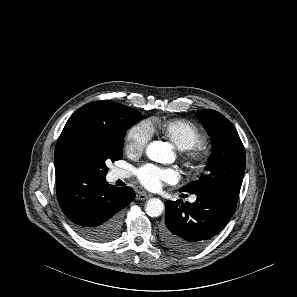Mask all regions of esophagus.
<instances>
[{
	"label": "esophagus",
	"instance_id": "1",
	"mask_svg": "<svg viewBox=\"0 0 297 297\" xmlns=\"http://www.w3.org/2000/svg\"><path fill=\"white\" fill-rule=\"evenodd\" d=\"M150 197H151V195H148V194L143 193V192H138V193L136 194V198H137V200H147V199H149Z\"/></svg>",
	"mask_w": 297,
	"mask_h": 297
}]
</instances>
